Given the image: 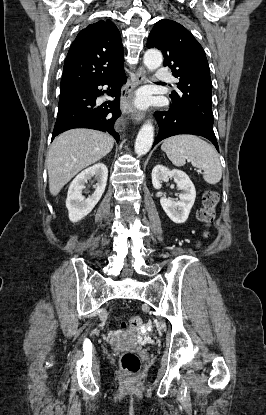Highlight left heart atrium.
I'll return each mask as SVG.
<instances>
[{"label":"left heart atrium","instance_id":"left-heart-atrium-1","mask_svg":"<svg viewBox=\"0 0 266 415\" xmlns=\"http://www.w3.org/2000/svg\"><path fill=\"white\" fill-rule=\"evenodd\" d=\"M139 102L141 105H144L146 103V99L144 97H141Z\"/></svg>","mask_w":266,"mask_h":415}]
</instances>
